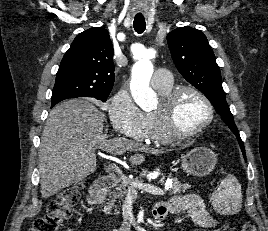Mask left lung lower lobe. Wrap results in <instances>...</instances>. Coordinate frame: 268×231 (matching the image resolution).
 I'll list each match as a JSON object with an SVG mask.
<instances>
[{
    "label": "left lung lower lobe",
    "instance_id": "1",
    "mask_svg": "<svg viewBox=\"0 0 268 231\" xmlns=\"http://www.w3.org/2000/svg\"><path fill=\"white\" fill-rule=\"evenodd\" d=\"M240 147H241V150H242V153H243V155L245 156V149H244V145H240Z\"/></svg>",
    "mask_w": 268,
    "mask_h": 231
}]
</instances>
